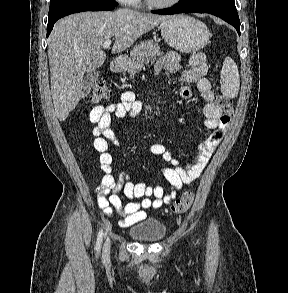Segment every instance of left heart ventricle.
I'll return each instance as SVG.
<instances>
[{
	"mask_svg": "<svg viewBox=\"0 0 288 293\" xmlns=\"http://www.w3.org/2000/svg\"><path fill=\"white\" fill-rule=\"evenodd\" d=\"M155 1H157V2H167L169 0H155Z\"/></svg>",
	"mask_w": 288,
	"mask_h": 293,
	"instance_id": "1",
	"label": "left heart ventricle"
}]
</instances>
